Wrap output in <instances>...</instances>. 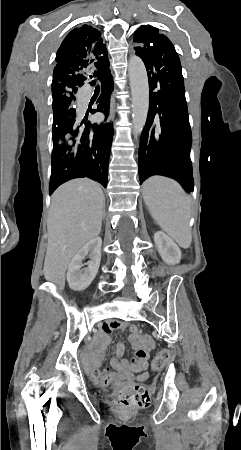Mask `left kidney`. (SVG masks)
<instances>
[{"instance_id": "obj_1", "label": "left kidney", "mask_w": 241, "mask_h": 450, "mask_svg": "<svg viewBox=\"0 0 241 450\" xmlns=\"http://www.w3.org/2000/svg\"><path fill=\"white\" fill-rule=\"evenodd\" d=\"M154 242L157 246V250L166 264H179L181 260V250H179L177 244L164 234V232H156L154 234Z\"/></svg>"}]
</instances>
